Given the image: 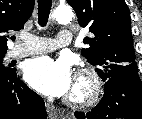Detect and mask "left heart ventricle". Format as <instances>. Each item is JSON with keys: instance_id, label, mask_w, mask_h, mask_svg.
<instances>
[{"instance_id": "b2bd125f", "label": "left heart ventricle", "mask_w": 142, "mask_h": 119, "mask_svg": "<svg viewBox=\"0 0 142 119\" xmlns=\"http://www.w3.org/2000/svg\"><path fill=\"white\" fill-rule=\"evenodd\" d=\"M78 91H79L78 88H76L75 84L73 83V88H72V90L70 91V93H76V92H78Z\"/></svg>"}]
</instances>
